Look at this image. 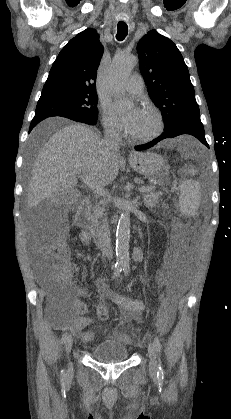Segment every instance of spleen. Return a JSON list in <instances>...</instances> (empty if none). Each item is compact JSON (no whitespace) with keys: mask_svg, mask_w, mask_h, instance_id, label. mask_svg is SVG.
<instances>
[{"mask_svg":"<svg viewBox=\"0 0 231 419\" xmlns=\"http://www.w3.org/2000/svg\"><path fill=\"white\" fill-rule=\"evenodd\" d=\"M191 174H195V170L191 171ZM180 197L179 204L181 212L186 216L195 215L200 198V185L198 182L192 180H184L180 186Z\"/></svg>","mask_w":231,"mask_h":419,"instance_id":"3e777b00","label":"spleen"}]
</instances>
